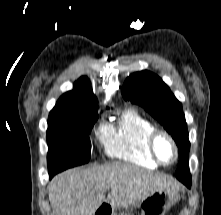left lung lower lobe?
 <instances>
[{"label": "left lung lower lobe", "mask_w": 221, "mask_h": 215, "mask_svg": "<svg viewBox=\"0 0 221 215\" xmlns=\"http://www.w3.org/2000/svg\"><path fill=\"white\" fill-rule=\"evenodd\" d=\"M181 181V180H180ZM183 184H185L188 188H190L191 187V181H187V180H185V181H181Z\"/></svg>", "instance_id": "0a47b994"}]
</instances>
